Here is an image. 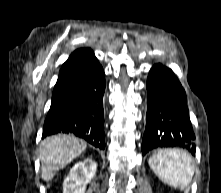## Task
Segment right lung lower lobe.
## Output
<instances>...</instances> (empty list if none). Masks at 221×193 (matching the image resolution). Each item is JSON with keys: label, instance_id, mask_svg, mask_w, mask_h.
Returning <instances> with one entry per match:
<instances>
[{"label": "right lung lower lobe", "instance_id": "1", "mask_svg": "<svg viewBox=\"0 0 221 193\" xmlns=\"http://www.w3.org/2000/svg\"><path fill=\"white\" fill-rule=\"evenodd\" d=\"M104 91V71L96 60L59 95L52 98L42 138L69 133L104 149Z\"/></svg>", "mask_w": 221, "mask_h": 193}]
</instances>
